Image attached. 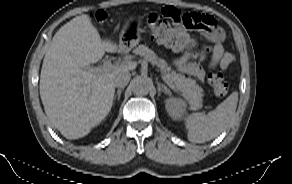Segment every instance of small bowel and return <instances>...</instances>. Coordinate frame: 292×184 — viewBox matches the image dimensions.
<instances>
[{
  "instance_id": "1",
  "label": "small bowel",
  "mask_w": 292,
  "mask_h": 184,
  "mask_svg": "<svg viewBox=\"0 0 292 184\" xmlns=\"http://www.w3.org/2000/svg\"><path fill=\"white\" fill-rule=\"evenodd\" d=\"M206 16L210 25L198 28V30L213 43V52L208 66L210 69L220 67L221 70H226L233 63L234 55L224 50L225 35L215 18L210 15ZM191 58H195L196 61H190ZM204 59L203 53H185L175 59L174 65L179 72L203 81L206 75L202 65Z\"/></svg>"
}]
</instances>
